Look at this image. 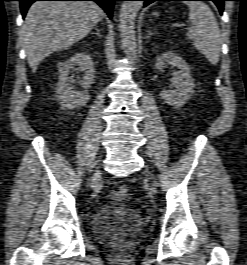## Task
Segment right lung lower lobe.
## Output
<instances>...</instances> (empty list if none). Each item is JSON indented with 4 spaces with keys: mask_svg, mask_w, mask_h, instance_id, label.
<instances>
[{
    "mask_svg": "<svg viewBox=\"0 0 247 265\" xmlns=\"http://www.w3.org/2000/svg\"><path fill=\"white\" fill-rule=\"evenodd\" d=\"M18 1H20V8L23 17L26 15V12L30 7V5L35 1H94L105 10L109 18H112L114 2L121 0H18Z\"/></svg>",
    "mask_w": 247,
    "mask_h": 265,
    "instance_id": "98d812e1",
    "label": "right lung lower lobe"
}]
</instances>
